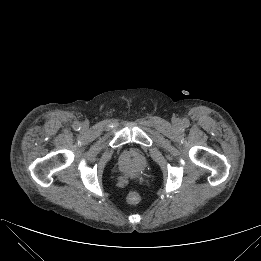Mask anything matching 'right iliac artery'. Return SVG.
Instances as JSON below:
<instances>
[{"mask_svg":"<svg viewBox=\"0 0 261 261\" xmlns=\"http://www.w3.org/2000/svg\"><path fill=\"white\" fill-rule=\"evenodd\" d=\"M73 128L76 130V131H78V130H80V124L79 123H75L74 125H73Z\"/></svg>","mask_w":261,"mask_h":261,"instance_id":"82829eb1","label":"right iliac artery"}]
</instances>
